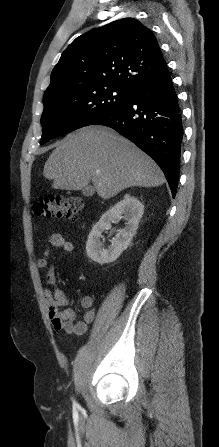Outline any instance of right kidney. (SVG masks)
Listing matches in <instances>:
<instances>
[{
  "mask_svg": "<svg viewBox=\"0 0 219 447\" xmlns=\"http://www.w3.org/2000/svg\"><path fill=\"white\" fill-rule=\"evenodd\" d=\"M144 212V205L134 196L126 194L124 198L106 211L93 226L86 242L87 256L98 264L114 262L130 245L136 234ZM125 219V227L120 229L104 249L101 243L102 232L111 228V223Z\"/></svg>",
  "mask_w": 219,
  "mask_h": 447,
  "instance_id": "right-kidney-1",
  "label": "right kidney"
}]
</instances>
